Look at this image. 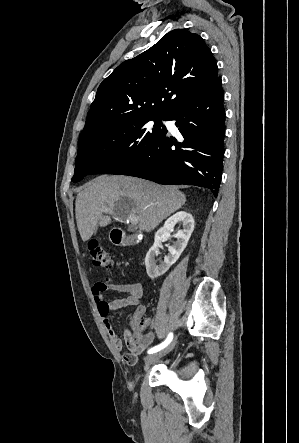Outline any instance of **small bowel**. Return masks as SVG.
Wrapping results in <instances>:
<instances>
[{
    "instance_id": "small-bowel-1",
    "label": "small bowel",
    "mask_w": 299,
    "mask_h": 443,
    "mask_svg": "<svg viewBox=\"0 0 299 443\" xmlns=\"http://www.w3.org/2000/svg\"><path fill=\"white\" fill-rule=\"evenodd\" d=\"M107 292L122 293L126 294V296L107 301L105 299ZM92 295L97 306V311L102 318L103 326L114 349L117 352H121L123 349V341L115 332L109 316L112 312L127 306L137 307L136 312L143 315L145 312V308L141 304L144 295L143 285L139 282H114L110 284L97 282L92 286ZM153 341V332H148L143 335L137 330L135 334L132 335L130 331L125 330L124 343L128 349V353L124 355L125 362L129 365H134L137 362L138 356L145 351Z\"/></svg>"
}]
</instances>
